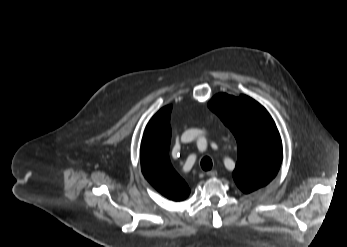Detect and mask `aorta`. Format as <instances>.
I'll return each instance as SVG.
<instances>
[{
  "instance_id": "obj_1",
  "label": "aorta",
  "mask_w": 347,
  "mask_h": 247,
  "mask_svg": "<svg viewBox=\"0 0 347 247\" xmlns=\"http://www.w3.org/2000/svg\"><path fill=\"white\" fill-rule=\"evenodd\" d=\"M205 140L203 139V138H200L199 140H198V143H203Z\"/></svg>"
}]
</instances>
